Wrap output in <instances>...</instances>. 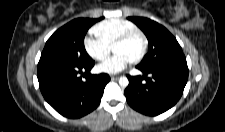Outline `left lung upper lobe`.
Segmentation results:
<instances>
[{"mask_svg": "<svg viewBox=\"0 0 225 132\" xmlns=\"http://www.w3.org/2000/svg\"><path fill=\"white\" fill-rule=\"evenodd\" d=\"M146 35L149 48L148 53L138 65L150 68L164 63L186 62V58L176 38L162 25L148 18L128 17Z\"/></svg>", "mask_w": 225, "mask_h": 132, "instance_id": "obj_1", "label": "left lung upper lobe"}]
</instances>
